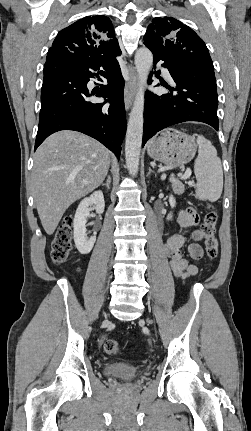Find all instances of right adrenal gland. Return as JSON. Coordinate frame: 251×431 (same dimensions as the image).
I'll use <instances>...</instances> for the list:
<instances>
[{
  "mask_svg": "<svg viewBox=\"0 0 251 431\" xmlns=\"http://www.w3.org/2000/svg\"><path fill=\"white\" fill-rule=\"evenodd\" d=\"M103 187H107L108 189H110V185H111V177L110 175H107V179H106V183H102L101 184Z\"/></svg>",
  "mask_w": 251,
  "mask_h": 431,
  "instance_id": "right-adrenal-gland-1",
  "label": "right adrenal gland"
}]
</instances>
